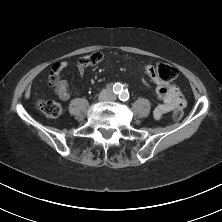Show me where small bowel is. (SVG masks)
Returning <instances> with one entry per match:
<instances>
[{"instance_id": "1", "label": "small bowel", "mask_w": 222, "mask_h": 222, "mask_svg": "<svg viewBox=\"0 0 222 222\" xmlns=\"http://www.w3.org/2000/svg\"><path fill=\"white\" fill-rule=\"evenodd\" d=\"M67 66L66 62H61L57 65L56 73L58 74ZM147 73L154 79V84L157 86V95L161 99V103L158 104L153 111V115L156 119H160L164 114L184 107L185 99L180 89L176 85H169L162 78V75L158 73L151 65L145 68ZM77 70L81 76L85 74V68L82 65H77ZM55 93L62 100H68L71 97V90L68 83L65 80H61L56 88Z\"/></svg>"}]
</instances>
